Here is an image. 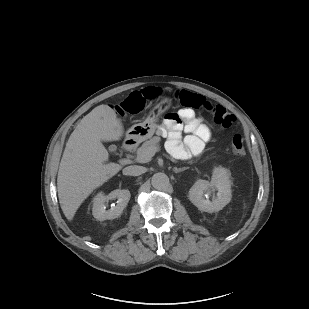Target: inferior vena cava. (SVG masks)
<instances>
[{
  "label": "inferior vena cava",
  "mask_w": 309,
  "mask_h": 309,
  "mask_svg": "<svg viewBox=\"0 0 309 309\" xmlns=\"http://www.w3.org/2000/svg\"><path fill=\"white\" fill-rule=\"evenodd\" d=\"M145 172V168L138 165H131L123 169L124 175L139 176Z\"/></svg>",
  "instance_id": "inferior-vena-cava-1"
}]
</instances>
